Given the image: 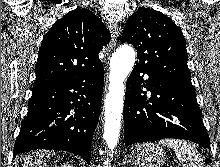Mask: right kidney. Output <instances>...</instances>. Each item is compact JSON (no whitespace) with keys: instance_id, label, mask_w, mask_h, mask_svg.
Returning <instances> with one entry per match:
<instances>
[{"instance_id":"ca27d5eb","label":"right kidney","mask_w":220,"mask_h":167,"mask_svg":"<svg viewBox=\"0 0 220 167\" xmlns=\"http://www.w3.org/2000/svg\"><path fill=\"white\" fill-rule=\"evenodd\" d=\"M60 167H73L72 165H63V166H60Z\"/></svg>"}]
</instances>
